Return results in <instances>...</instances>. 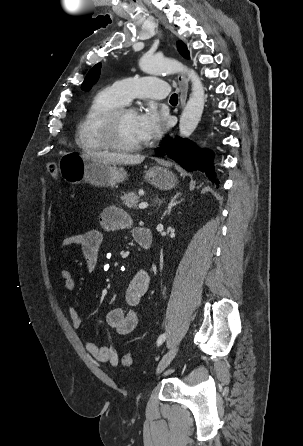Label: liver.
<instances>
[{
    "label": "liver",
    "mask_w": 303,
    "mask_h": 446,
    "mask_svg": "<svg viewBox=\"0 0 303 446\" xmlns=\"http://www.w3.org/2000/svg\"><path fill=\"white\" fill-rule=\"evenodd\" d=\"M95 161L111 164L135 165L143 162L145 157L143 155H131L123 153H109V152H87L84 154Z\"/></svg>",
    "instance_id": "1"
}]
</instances>
